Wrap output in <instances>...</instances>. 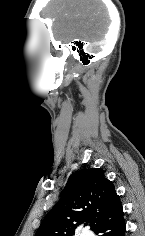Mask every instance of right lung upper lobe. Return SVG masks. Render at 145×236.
Returning <instances> with one entry per match:
<instances>
[{
    "label": "right lung upper lobe",
    "mask_w": 145,
    "mask_h": 236,
    "mask_svg": "<svg viewBox=\"0 0 145 236\" xmlns=\"http://www.w3.org/2000/svg\"><path fill=\"white\" fill-rule=\"evenodd\" d=\"M114 185L102 169L79 170L68 180L62 197L43 219L35 236H73L87 221L98 228L121 208Z\"/></svg>",
    "instance_id": "1"
}]
</instances>
